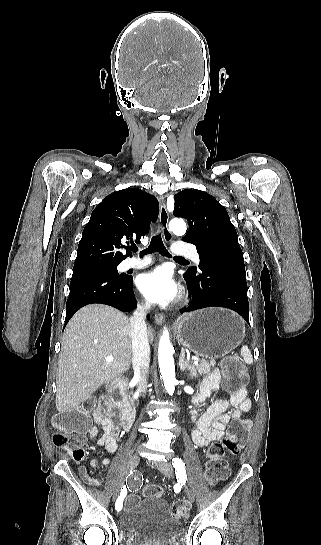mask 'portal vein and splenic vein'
<instances>
[{
  "label": "portal vein and splenic vein",
  "mask_w": 321,
  "mask_h": 545,
  "mask_svg": "<svg viewBox=\"0 0 321 545\" xmlns=\"http://www.w3.org/2000/svg\"><path fill=\"white\" fill-rule=\"evenodd\" d=\"M191 359H196V361H199V358H197V355L191 356ZM106 361H107V363H112V361H113L112 355H109V357H106Z\"/></svg>",
  "instance_id": "portal-vein-and-splenic-vein-1"
}]
</instances>
